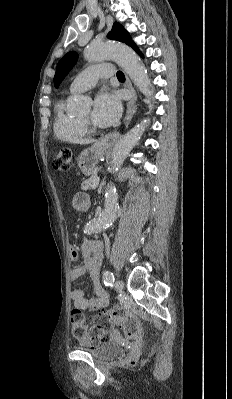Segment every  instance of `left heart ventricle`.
<instances>
[{
  "label": "left heart ventricle",
  "instance_id": "b2bd125f",
  "mask_svg": "<svg viewBox=\"0 0 232 399\" xmlns=\"http://www.w3.org/2000/svg\"><path fill=\"white\" fill-rule=\"evenodd\" d=\"M80 118L89 120L94 126H96L97 128H100V126H98L97 124H95V123L92 121L90 109L84 111V112L82 113V115L80 116Z\"/></svg>",
  "mask_w": 232,
  "mask_h": 399
}]
</instances>
